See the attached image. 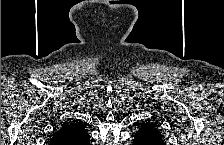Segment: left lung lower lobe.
<instances>
[{
    "instance_id": "0a47b994",
    "label": "left lung lower lobe",
    "mask_w": 224,
    "mask_h": 145,
    "mask_svg": "<svg viewBox=\"0 0 224 145\" xmlns=\"http://www.w3.org/2000/svg\"><path fill=\"white\" fill-rule=\"evenodd\" d=\"M133 145H164V140L155 126L146 124L136 132Z\"/></svg>"
}]
</instances>
